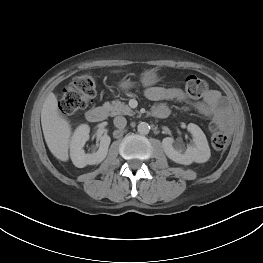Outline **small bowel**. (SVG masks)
Returning <instances> with one entry per match:
<instances>
[{
    "label": "small bowel",
    "instance_id": "obj_1",
    "mask_svg": "<svg viewBox=\"0 0 263 263\" xmlns=\"http://www.w3.org/2000/svg\"><path fill=\"white\" fill-rule=\"evenodd\" d=\"M145 97L157 103L154 113L163 109L168 110L165 101L189 102L180 88L151 87L145 91ZM192 105L201 114L212 117L219 127L230 129L228 108L219 91L208 90L201 101L193 102Z\"/></svg>",
    "mask_w": 263,
    "mask_h": 263
}]
</instances>
